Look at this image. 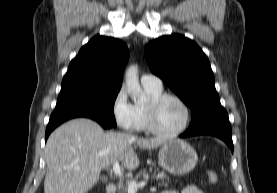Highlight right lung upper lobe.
<instances>
[{"label": "right lung upper lobe", "mask_w": 277, "mask_h": 193, "mask_svg": "<svg viewBox=\"0 0 277 193\" xmlns=\"http://www.w3.org/2000/svg\"><path fill=\"white\" fill-rule=\"evenodd\" d=\"M128 59L129 51L123 42L96 35L71 61L61 90L74 87L120 90L123 69Z\"/></svg>", "instance_id": "1"}]
</instances>
